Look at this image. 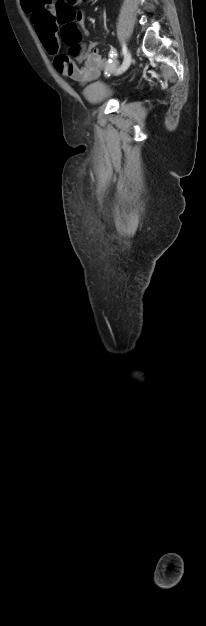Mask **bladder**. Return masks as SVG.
<instances>
[{"label":"bladder","mask_w":206,"mask_h":626,"mask_svg":"<svg viewBox=\"0 0 206 626\" xmlns=\"http://www.w3.org/2000/svg\"><path fill=\"white\" fill-rule=\"evenodd\" d=\"M114 95V90L103 82H96L87 86L83 91L84 98L92 103H102Z\"/></svg>","instance_id":"bladder-1"}]
</instances>
